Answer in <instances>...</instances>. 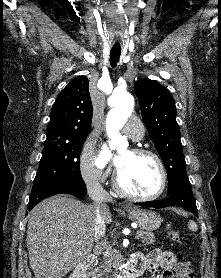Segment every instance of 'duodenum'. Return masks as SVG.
I'll return each mask as SVG.
<instances>
[{
	"label": "duodenum",
	"instance_id": "1",
	"mask_svg": "<svg viewBox=\"0 0 221 278\" xmlns=\"http://www.w3.org/2000/svg\"><path fill=\"white\" fill-rule=\"evenodd\" d=\"M92 262L91 258L83 261L70 275L69 278H88L86 271L89 268ZM142 270H140L137 266V262L134 259H131L128 263L124 273L120 276V278H137L141 274Z\"/></svg>",
	"mask_w": 221,
	"mask_h": 278
}]
</instances>
